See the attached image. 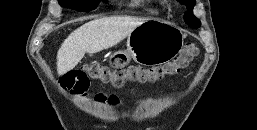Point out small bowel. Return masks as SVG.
Wrapping results in <instances>:
<instances>
[{
	"label": "small bowel",
	"instance_id": "c3829d8e",
	"mask_svg": "<svg viewBox=\"0 0 257 130\" xmlns=\"http://www.w3.org/2000/svg\"><path fill=\"white\" fill-rule=\"evenodd\" d=\"M95 101L100 104H109L113 107H117L120 103L119 98L116 95L107 96L104 93H97L95 95Z\"/></svg>",
	"mask_w": 257,
	"mask_h": 130
}]
</instances>
